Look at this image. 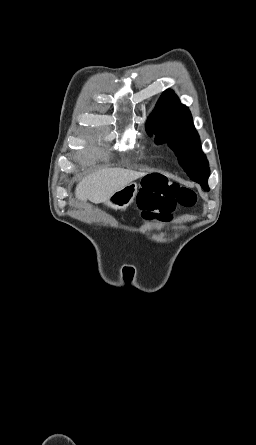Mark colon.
<instances>
[{
  "mask_svg": "<svg viewBox=\"0 0 256 445\" xmlns=\"http://www.w3.org/2000/svg\"><path fill=\"white\" fill-rule=\"evenodd\" d=\"M137 202L144 220L168 221L177 207H192L197 202L195 192L163 176H150L138 193Z\"/></svg>",
  "mask_w": 256,
  "mask_h": 445,
  "instance_id": "colon-1",
  "label": "colon"
}]
</instances>
